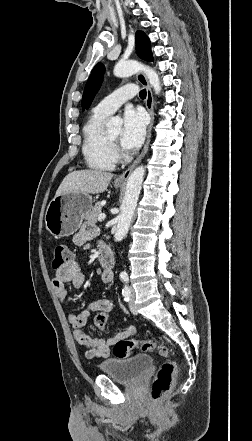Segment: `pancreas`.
<instances>
[{
    "instance_id": "pancreas-1",
    "label": "pancreas",
    "mask_w": 252,
    "mask_h": 441,
    "mask_svg": "<svg viewBox=\"0 0 252 441\" xmlns=\"http://www.w3.org/2000/svg\"><path fill=\"white\" fill-rule=\"evenodd\" d=\"M101 213H102V205H101L100 202H98V203L94 206V208L92 209V211H90V212L86 215L85 219L88 220V221H91V222L96 223V222H97V218H98L99 214H101Z\"/></svg>"
}]
</instances>
